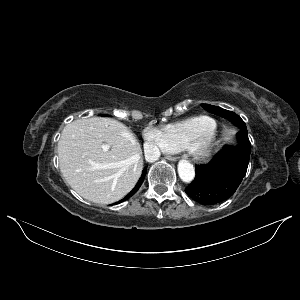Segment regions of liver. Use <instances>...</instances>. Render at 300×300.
Returning <instances> with one entry per match:
<instances>
[{
  "mask_svg": "<svg viewBox=\"0 0 300 300\" xmlns=\"http://www.w3.org/2000/svg\"><path fill=\"white\" fill-rule=\"evenodd\" d=\"M108 145L107 151L103 145ZM60 170L83 198L111 204L126 196L143 169L142 149L124 124L106 117L73 121L58 142Z\"/></svg>",
  "mask_w": 300,
  "mask_h": 300,
  "instance_id": "1",
  "label": "liver"
}]
</instances>
